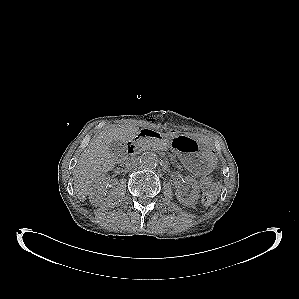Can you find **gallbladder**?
Segmentation results:
<instances>
[{"label":"gallbladder","instance_id":"obj_1","mask_svg":"<svg viewBox=\"0 0 299 299\" xmlns=\"http://www.w3.org/2000/svg\"><path fill=\"white\" fill-rule=\"evenodd\" d=\"M125 149V144L121 141H112V143L109 145L110 152L115 156H124Z\"/></svg>","mask_w":299,"mask_h":299}]
</instances>
